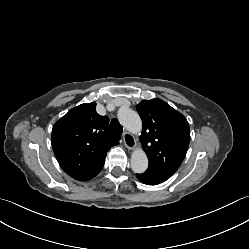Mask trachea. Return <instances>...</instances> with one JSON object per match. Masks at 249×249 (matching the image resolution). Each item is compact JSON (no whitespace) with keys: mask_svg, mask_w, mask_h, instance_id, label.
<instances>
[{"mask_svg":"<svg viewBox=\"0 0 249 249\" xmlns=\"http://www.w3.org/2000/svg\"><path fill=\"white\" fill-rule=\"evenodd\" d=\"M109 126H110V129L116 134L121 135L123 133V127L117 119H113Z\"/></svg>","mask_w":249,"mask_h":249,"instance_id":"3493384b","label":"trachea"}]
</instances>
